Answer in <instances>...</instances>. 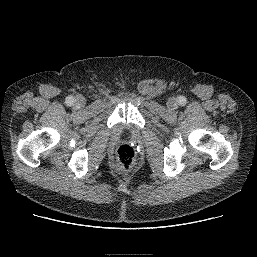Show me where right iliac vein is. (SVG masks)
<instances>
[{
    "label": "right iliac vein",
    "mask_w": 257,
    "mask_h": 257,
    "mask_svg": "<svg viewBox=\"0 0 257 257\" xmlns=\"http://www.w3.org/2000/svg\"><path fill=\"white\" fill-rule=\"evenodd\" d=\"M75 106L77 108H82L85 106V98L82 95H79L75 99Z\"/></svg>",
    "instance_id": "63e3f726"
}]
</instances>
